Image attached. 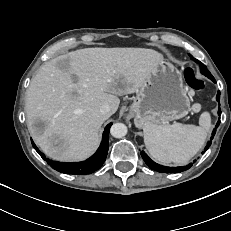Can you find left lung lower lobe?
Segmentation results:
<instances>
[{"mask_svg":"<svg viewBox=\"0 0 231 231\" xmlns=\"http://www.w3.org/2000/svg\"><path fill=\"white\" fill-rule=\"evenodd\" d=\"M213 82H215V79L212 78L211 79ZM216 100L219 102L220 101V92L218 91L217 93V96H216ZM220 105V104H219ZM218 115L220 116L221 115V110H220V107L218 109ZM220 124V120L217 122L215 128L213 129V132H212V137L210 138V141H208L203 153L210 147L211 145V142H212V139L216 133V129L217 127L219 126ZM141 155H142V158L143 160L145 161V163L153 170L155 171H158V172H161V173H179V172H182V171H185V170H188L191 166H192V163H190L189 165L187 166H181V167H166V166H162V165H159L157 163H155L154 161H152L146 153H144L143 151L141 152ZM195 162V161H194Z\"/></svg>","mask_w":231,"mask_h":231,"instance_id":"obj_1","label":"left lung lower lobe"}]
</instances>
